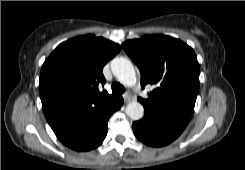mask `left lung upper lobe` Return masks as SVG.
Segmentation results:
<instances>
[{"label":"left lung upper lobe","instance_id":"left-lung-upper-lobe-1","mask_svg":"<svg viewBox=\"0 0 245 170\" xmlns=\"http://www.w3.org/2000/svg\"><path fill=\"white\" fill-rule=\"evenodd\" d=\"M138 66L141 86H155L143 106L191 119L199 90V63L191 47L165 35H145L122 44Z\"/></svg>","mask_w":245,"mask_h":170}]
</instances>
